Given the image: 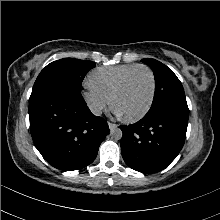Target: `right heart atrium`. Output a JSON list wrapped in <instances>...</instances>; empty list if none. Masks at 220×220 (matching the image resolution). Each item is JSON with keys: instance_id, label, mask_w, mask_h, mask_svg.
I'll return each instance as SVG.
<instances>
[{"instance_id": "right-heart-atrium-1", "label": "right heart atrium", "mask_w": 220, "mask_h": 220, "mask_svg": "<svg viewBox=\"0 0 220 220\" xmlns=\"http://www.w3.org/2000/svg\"><path fill=\"white\" fill-rule=\"evenodd\" d=\"M82 96L87 107L94 115L102 114L109 108L111 104L109 98L94 90L90 86H87Z\"/></svg>"}]
</instances>
